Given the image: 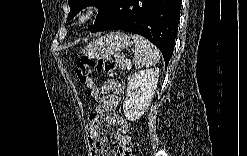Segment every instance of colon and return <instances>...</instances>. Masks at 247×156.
Listing matches in <instances>:
<instances>
[{
    "label": "colon",
    "mask_w": 247,
    "mask_h": 156,
    "mask_svg": "<svg viewBox=\"0 0 247 156\" xmlns=\"http://www.w3.org/2000/svg\"><path fill=\"white\" fill-rule=\"evenodd\" d=\"M98 70L109 77L115 75L116 66L113 60L108 58L92 59L87 56L80 57L76 62V73L81 83L87 88V93L97 99V87L91 77L92 72Z\"/></svg>",
    "instance_id": "5ec220e1"
}]
</instances>
